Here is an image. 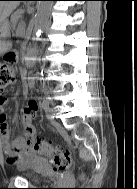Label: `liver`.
I'll list each match as a JSON object with an SVG mask.
<instances>
[{
    "label": "liver",
    "instance_id": "6515ba94",
    "mask_svg": "<svg viewBox=\"0 0 137 189\" xmlns=\"http://www.w3.org/2000/svg\"><path fill=\"white\" fill-rule=\"evenodd\" d=\"M19 5V1H0V28L4 26L7 17Z\"/></svg>",
    "mask_w": 137,
    "mask_h": 189
}]
</instances>
